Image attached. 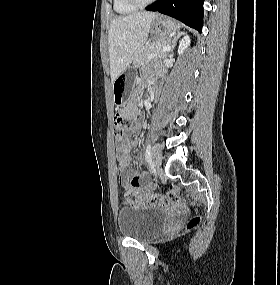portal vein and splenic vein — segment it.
I'll list each match as a JSON object with an SVG mask.
<instances>
[{
	"label": "portal vein and splenic vein",
	"mask_w": 280,
	"mask_h": 285,
	"mask_svg": "<svg viewBox=\"0 0 280 285\" xmlns=\"http://www.w3.org/2000/svg\"><path fill=\"white\" fill-rule=\"evenodd\" d=\"M171 50V47L168 45V46H164L162 48V52H169ZM158 55V53H154V54H151V55H148L147 56V59L150 60V59H153L155 58L156 56Z\"/></svg>",
	"instance_id": "1"
}]
</instances>
